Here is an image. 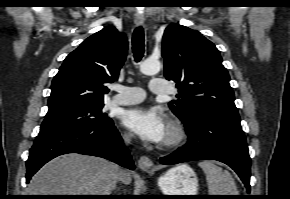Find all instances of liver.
<instances>
[{
  "instance_id": "liver-1",
  "label": "liver",
  "mask_w": 290,
  "mask_h": 199,
  "mask_svg": "<svg viewBox=\"0 0 290 199\" xmlns=\"http://www.w3.org/2000/svg\"><path fill=\"white\" fill-rule=\"evenodd\" d=\"M119 167L102 158L66 154L45 164L28 185L30 195H110ZM121 181L131 183L129 172Z\"/></svg>"
}]
</instances>
